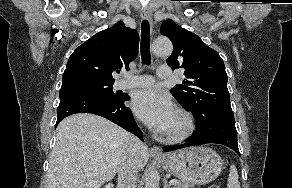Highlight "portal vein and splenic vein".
Listing matches in <instances>:
<instances>
[{
  "instance_id": "portal-vein-and-splenic-vein-1",
  "label": "portal vein and splenic vein",
  "mask_w": 292,
  "mask_h": 188,
  "mask_svg": "<svg viewBox=\"0 0 292 188\" xmlns=\"http://www.w3.org/2000/svg\"><path fill=\"white\" fill-rule=\"evenodd\" d=\"M179 182H178V180H176V179H171L170 180V184L171 185H177Z\"/></svg>"
}]
</instances>
